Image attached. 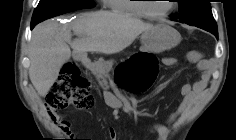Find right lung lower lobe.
<instances>
[{
	"label": "right lung lower lobe",
	"instance_id": "1",
	"mask_svg": "<svg viewBox=\"0 0 236 140\" xmlns=\"http://www.w3.org/2000/svg\"><path fill=\"white\" fill-rule=\"evenodd\" d=\"M36 24H31V29H33V27L35 26Z\"/></svg>",
	"mask_w": 236,
	"mask_h": 140
}]
</instances>
